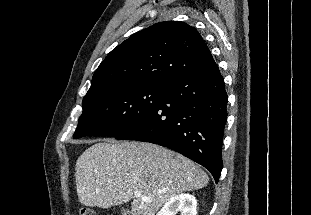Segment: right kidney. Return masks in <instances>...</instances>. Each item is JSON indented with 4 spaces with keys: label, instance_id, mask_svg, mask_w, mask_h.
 I'll return each mask as SVG.
<instances>
[{
    "label": "right kidney",
    "instance_id": "right-kidney-1",
    "mask_svg": "<svg viewBox=\"0 0 311 215\" xmlns=\"http://www.w3.org/2000/svg\"><path fill=\"white\" fill-rule=\"evenodd\" d=\"M197 200L191 194H178L171 197L157 215H196Z\"/></svg>",
    "mask_w": 311,
    "mask_h": 215
}]
</instances>
